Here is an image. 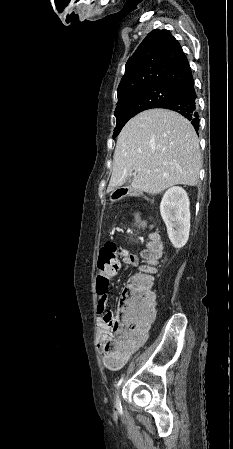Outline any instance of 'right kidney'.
Listing matches in <instances>:
<instances>
[{"label": "right kidney", "instance_id": "ca27d5eb", "mask_svg": "<svg viewBox=\"0 0 233 449\" xmlns=\"http://www.w3.org/2000/svg\"><path fill=\"white\" fill-rule=\"evenodd\" d=\"M190 202L181 187L168 189L160 203L169 239L175 248H182L188 241L190 231Z\"/></svg>", "mask_w": 233, "mask_h": 449}]
</instances>
